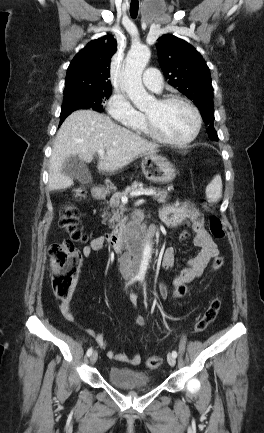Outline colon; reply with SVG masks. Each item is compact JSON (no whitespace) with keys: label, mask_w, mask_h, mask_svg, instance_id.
Masks as SVG:
<instances>
[{"label":"colon","mask_w":264,"mask_h":433,"mask_svg":"<svg viewBox=\"0 0 264 433\" xmlns=\"http://www.w3.org/2000/svg\"><path fill=\"white\" fill-rule=\"evenodd\" d=\"M73 195L76 199L82 200L86 197L87 192L83 186H77L73 189ZM208 212H213V206L210 202L204 204ZM79 211L74 205L68 204L62 209L59 225L68 234V238L59 243L50 246V266L52 270V287L56 297L60 299L67 298L70 295V288L74 279L78 276L81 266V255L76 243H83L88 240V236L78 227ZM208 228L212 236L216 239H222L225 235L222 222L216 215H211L208 220ZM223 258L215 255L211 260V269L219 270L223 266ZM188 292L186 284L174 285L171 293L173 300L183 298ZM221 306L218 298H214L203 315L196 321L194 332H203L217 317ZM162 364V359L158 356H150L146 360L148 368L156 369Z\"/></svg>","instance_id":"1"}]
</instances>
